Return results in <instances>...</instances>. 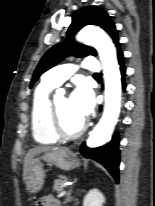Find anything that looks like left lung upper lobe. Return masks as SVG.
<instances>
[{
  "instance_id": "1",
  "label": "left lung upper lobe",
  "mask_w": 155,
  "mask_h": 206,
  "mask_svg": "<svg viewBox=\"0 0 155 206\" xmlns=\"http://www.w3.org/2000/svg\"><path fill=\"white\" fill-rule=\"evenodd\" d=\"M86 25L100 26L111 36L113 42L116 44V47L120 45L118 43L119 39L117 35V30L115 28L113 21L111 20V17L107 14V12L95 6L86 7L78 11L72 17V23L69 26L67 32L68 41L63 44H56L51 49H49L42 57L36 70L34 71L30 83V88L34 85V83L44 72L55 66L68 55H74L76 57H85L90 54L96 56V51L93 48L72 42L73 36L82 27Z\"/></svg>"
}]
</instances>
